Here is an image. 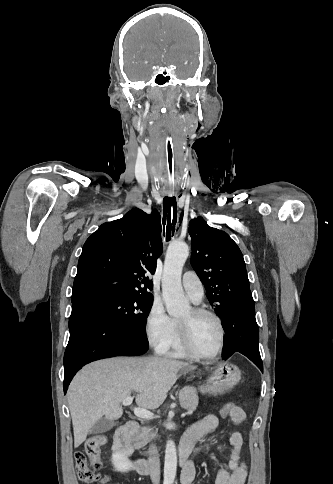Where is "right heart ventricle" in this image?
<instances>
[{"instance_id":"1","label":"right heart ventricle","mask_w":333,"mask_h":484,"mask_svg":"<svg viewBox=\"0 0 333 484\" xmlns=\"http://www.w3.org/2000/svg\"><path fill=\"white\" fill-rule=\"evenodd\" d=\"M172 358H185L189 354L185 351L179 336L178 321L173 319L172 337L168 347L162 352Z\"/></svg>"}]
</instances>
